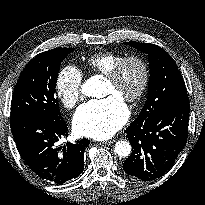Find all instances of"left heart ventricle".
<instances>
[{"label":"left heart ventricle","mask_w":205,"mask_h":205,"mask_svg":"<svg viewBox=\"0 0 205 205\" xmlns=\"http://www.w3.org/2000/svg\"><path fill=\"white\" fill-rule=\"evenodd\" d=\"M142 80V70L138 63H128L122 73L120 81L113 85L106 81L104 96H116L121 100L133 95L139 88Z\"/></svg>","instance_id":"obj_1"}]
</instances>
